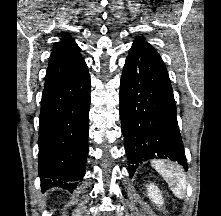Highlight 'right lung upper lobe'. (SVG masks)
Wrapping results in <instances>:
<instances>
[{
    "instance_id": "right-lung-upper-lobe-1",
    "label": "right lung upper lobe",
    "mask_w": 221,
    "mask_h": 216,
    "mask_svg": "<svg viewBox=\"0 0 221 216\" xmlns=\"http://www.w3.org/2000/svg\"><path fill=\"white\" fill-rule=\"evenodd\" d=\"M85 70H87V65L81 57L80 48L71 37L65 35L60 42L55 44L49 58L44 91Z\"/></svg>"
}]
</instances>
